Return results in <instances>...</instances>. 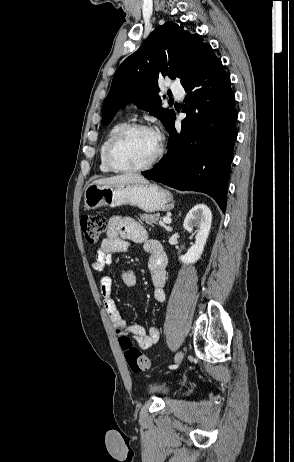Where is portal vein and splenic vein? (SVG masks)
Here are the masks:
<instances>
[{
    "label": "portal vein and splenic vein",
    "instance_id": "18ae733b",
    "mask_svg": "<svg viewBox=\"0 0 294 462\" xmlns=\"http://www.w3.org/2000/svg\"><path fill=\"white\" fill-rule=\"evenodd\" d=\"M171 218L169 217H164L162 221H160V224L163 225V224H170L171 223Z\"/></svg>",
    "mask_w": 294,
    "mask_h": 462
}]
</instances>
